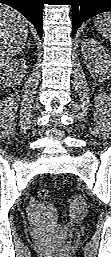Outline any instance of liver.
<instances>
[{"mask_svg":"<svg viewBox=\"0 0 111 257\" xmlns=\"http://www.w3.org/2000/svg\"><path fill=\"white\" fill-rule=\"evenodd\" d=\"M28 22L13 8L0 7V66H5L23 48L28 38Z\"/></svg>","mask_w":111,"mask_h":257,"instance_id":"liver-1","label":"liver"}]
</instances>
